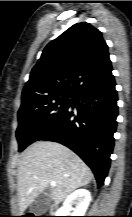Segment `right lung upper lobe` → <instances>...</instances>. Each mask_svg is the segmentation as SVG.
<instances>
[{
  "mask_svg": "<svg viewBox=\"0 0 132 217\" xmlns=\"http://www.w3.org/2000/svg\"><path fill=\"white\" fill-rule=\"evenodd\" d=\"M111 72L108 46L101 32L87 22L77 23L45 47L22 98L75 94L106 82L113 77Z\"/></svg>",
  "mask_w": 132,
  "mask_h": 217,
  "instance_id": "obj_1",
  "label": "right lung upper lobe"
}]
</instances>
